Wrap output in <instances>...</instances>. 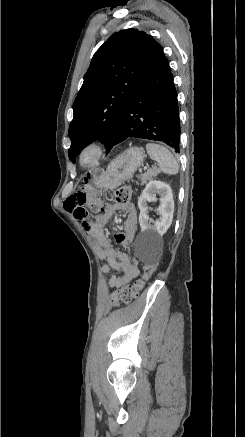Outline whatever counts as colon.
<instances>
[{"label":"colon","instance_id":"obj_1","mask_svg":"<svg viewBox=\"0 0 245 437\" xmlns=\"http://www.w3.org/2000/svg\"><path fill=\"white\" fill-rule=\"evenodd\" d=\"M131 196L132 189L129 186H124L115 192V201L119 204H127L130 202ZM102 208H105V206ZM156 268V264L144 265L141 277L133 285L123 286L109 295L111 305L117 307L121 303H130L134 298H136L145 282L155 273Z\"/></svg>","mask_w":245,"mask_h":437}]
</instances>
